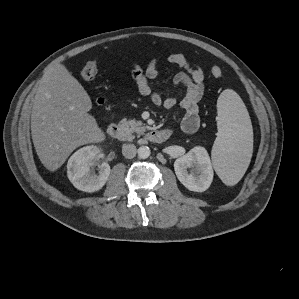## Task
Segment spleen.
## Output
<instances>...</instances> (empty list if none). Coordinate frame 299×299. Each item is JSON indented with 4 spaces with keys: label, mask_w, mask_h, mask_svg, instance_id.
I'll list each match as a JSON object with an SVG mask.
<instances>
[{
    "label": "spleen",
    "mask_w": 299,
    "mask_h": 299,
    "mask_svg": "<svg viewBox=\"0 0 299 299\" xmlns=\"http://www.w3.org/2000/svg\"><path fill=\"white\" fill-rule=\"evenodd\" d=\"M218 135L211 157L224 184L236 185L244 176L252 156L253 131L249 113L240 96L224 90L217 101Z\"/></svg>",
    "instance_id": "3e777b00"
}]
</instances>
